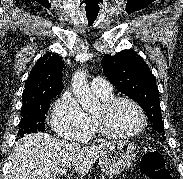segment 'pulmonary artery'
<instances>
[{
	"label": "pulmonary artery",
	"mask_w": 183,
	"mask_h": 179,
	"mask_svg": "<svg viewBox=\"0 0 183 179\" xmlns=\"http://www.w3.org/2000/svg\"><path fill=\"white\" fill-rule=\"evenodd\" d=\"M91 89L97 94H109L112 92L111 84L102 77H95L91 81Z\"/></svg>",
	"instance_id": "e3ab8cb5"
}]
</instances>
